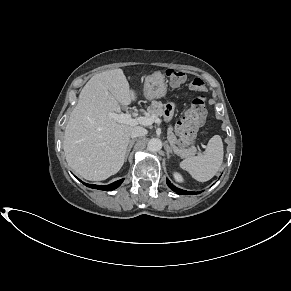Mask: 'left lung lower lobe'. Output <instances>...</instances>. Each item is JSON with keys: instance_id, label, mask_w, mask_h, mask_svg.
<instances>
[{"instance_id": "obj_1", "label": "left lung lower lobe", "mask_w": 291, "mask_h": 291, "mask_svg": "<svg viewBox=\"0 0 291 291\" xmlns=\"http://www.w3.org/2000/svg\"><path fill=\"white\" fill-rule=\"evenodd\" d=\"M167 185L176 193L178 194H183V195H193V194H198L199 192H190V191H185L182 190L180 188H177L176 186H174L173 184H171V182L167 179Z\"/></svg>"}]
</instances>
